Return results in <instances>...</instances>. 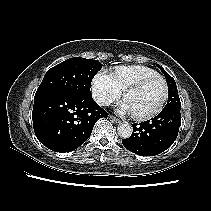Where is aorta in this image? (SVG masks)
I'll return each instance as SVG.
<instances>
[{
    "label": "aorta",
    "mask_w": 211,
    "mask_h": 211,
    "mask_svg": "<svg viewBox=\"0 0 211 211\" xmlns=\"http://www.w3.org/2000/svg\"><path fill=\"white\" fill-rule=\"evenodd\" d=\"M118 134L122 138H129L132 135V126L128 123H122L117 128Z\"/></svg>",
    "instance_id": "obj_1"
}]
</instances>
